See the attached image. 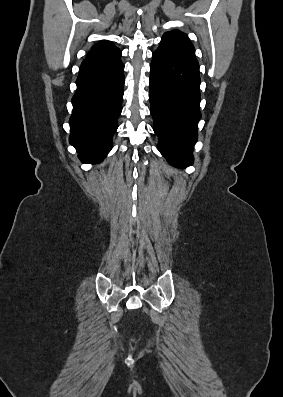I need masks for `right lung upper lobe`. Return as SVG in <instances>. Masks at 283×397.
<instances>
[{"label":"right lung upper lobe","instance_id":"obj_1","mask_svg":"<svg viewBox=\"0 0 283 397\" xmlns=\"http://www.w3.org/2000/svg\"><path fill=\"white\" fill-rule=\"evenodd\" d=\"M121 56V51L110 41H100L92 46L86 59L83 60L81 67H90L103 63H108Z\"/></svg>","mask_w":283,"mask_h":397}]
</instances>
